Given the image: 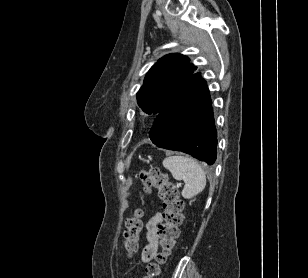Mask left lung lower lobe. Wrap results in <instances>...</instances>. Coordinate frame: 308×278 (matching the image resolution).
Segmentation results:
<instances>
[{
  "instance_id": "left-lung-lower-lobe-1",
  "label": "left lung lower lobe",
  "mask_w": 308,
  "mask_h": 278,
  "mask_svg": "<svg viewBox=\"0 0 308 278\" xmlns=\"http://www.w3.org/2000/svg\"><path fill=\"white\" fill-rule=\"evenodd\" d=\"M206 81L194 74L158 113L150 139L158 147L182 151L212 165L217 132Z\"/></svg>"
}]
</instances>
